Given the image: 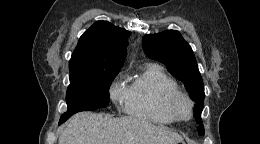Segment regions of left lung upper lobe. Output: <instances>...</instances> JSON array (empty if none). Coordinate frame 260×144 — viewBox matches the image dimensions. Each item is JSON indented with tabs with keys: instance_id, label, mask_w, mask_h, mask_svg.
<instances>
[{
	"instance_id": "5c2ea615",
	"label": "left lung upper lobe",
	"mask_w": 260,
	"mask_h": 144,
	"mask_svg": "<svg viewBox=\"0 0 260 144\" xmlns=\"http://www.w3.org/2000/svg\"><path fill=\"white\" fill-rule=\"evenodd\" d=\"M142 44L144 52L149 58L166 65L169 72L185 84L189 95L196 102L194 112L199 124V134L204 135L201 120L205 96L204 85L190 45L176 30L145 35Z\"/></svg>"
}]
</instances>
